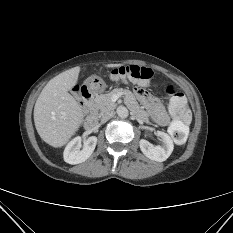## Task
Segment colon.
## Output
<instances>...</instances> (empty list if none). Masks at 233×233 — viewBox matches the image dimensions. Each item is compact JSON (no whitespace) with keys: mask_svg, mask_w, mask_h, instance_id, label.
<instances>
[{"mask_svg":"<svg viewBox=\"0 0 233 233\" xmlns=\"http://www.w3.org/2000/svg\"><path fill=\"white\" fill-rule=\"evenodd\" d=\"M112 77L116 80L145 85L152 79L153 72L148 68L136 65L122 66L112 71ZM76 90L81 95V90L78 88ZM165 92L170 96L169 110L172 115L169 133L173 140L181 145L187 140V123L190 119L189 105L184 95L179 93L172 84L165 85Z\"/></svg>","mask_w":233,"mask_h":233,"instance_id":"1","label":"colon"}]
</instances>
